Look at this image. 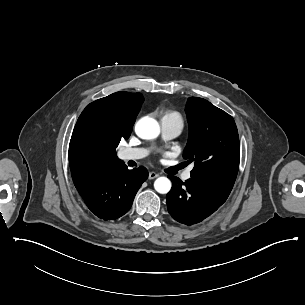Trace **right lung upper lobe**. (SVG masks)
<instances>
[{
	"label": "right lung upper lobe",
	"instance_id": "cb5924a9",
	"mask_svg": "<svg viewBox=\"0 0 305 305\" xmlns=\"http://www.w3.org/2000/svg\"><path fill=\"white\" fill-rule=\"evenodd\" d=\"M144 98L140 93H113L90 103L79 116L69 145V164L76 187L124 164L116 155L127 139Z\"/></svg>",
	"mask_w": 305,
	"mask_h": 305
}]
</instances>
